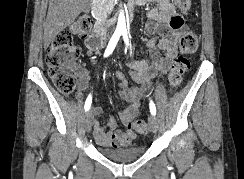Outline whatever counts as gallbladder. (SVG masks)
Wrapping results in <instances>:
<instances>
[{
	"mask_svg": "<svg viewBox=\"0 0 244 179\" xmlns=\"http://www.w3.org/2000/svg\"><path fill=\"white\" fill-rule=\"evenodd\" d=\"M83 12H86V14H88V12H90V0L89 2H86L84 8H83Z\"/></svg>",
	"mask_w": 244,
	"mask_h": 179,
	"instance_id": "bac80fb5",
	"label": "gallbladder"
}]
</instances>
